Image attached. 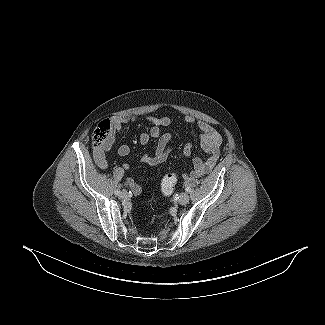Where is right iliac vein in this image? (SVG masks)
<instances>
[{
  "label": "right iliac vein",
  "instance_id": "1",
  "mask_svg": "<svg viewBox=\"0 0 325 325\" xmlns=\"http://www.w3.org/2000/svg\"><path fill=\"white\" fill-rule=\"evenodd\" d=\"M119 197L121 199H126L128 197V193L127 191H122L120 194H119Z\"/></svg>",
  "mask_w": 325,
  "mask_h": 325
}]
</instances>
